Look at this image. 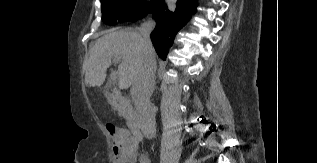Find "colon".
Masks as SVG:
<instances>
[{
    "instance_id": "obj_1",
    "label": "colon",
    "mask_w": 317,
    "mask_h": 163,
    "mask_svg": "<svg viewBox=\"0 0 317 163\" xmlns=\"http://www.w3.org/2000/svg\"><path fill=\"white\" fill-rule=\"evenodd\" d=\"M108 132L114 136L115 135V132H116V129L113 127V126H108Z\"/></svg>"
}]
</instances>
